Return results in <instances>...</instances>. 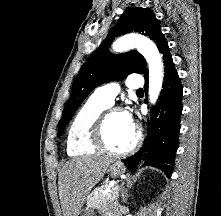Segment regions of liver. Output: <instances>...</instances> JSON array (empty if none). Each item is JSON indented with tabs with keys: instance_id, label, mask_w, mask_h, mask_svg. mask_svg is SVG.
<instances>
[{
	"instance_id": "1",
	"label": "liver",
	"mask_w": 221,
	"mask_h": 216,
	"mask_svg": "<svg viewBox=\"0 0 221 216\" xmlns=\"http://www.w3.org/2000/svg\"><path fill=\"white\" fill-rule=\"evenodd\" d=\"M110 158L79 157L68 161L59 177V198L64 216H78L89 191L103 178Z\"/></svg>"
}]
</instances>
